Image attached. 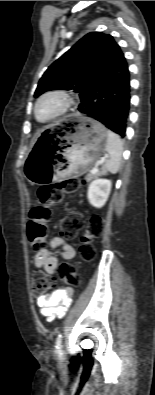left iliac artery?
<instances>
[{"label": "left iliac artery", "mask_w": 155, "mask_h": 395, "mask_svg": "<svg viewBox=\"0 0 155 395\" xmlns=\"http://www.w3.org/2000/svg\"><path fill=\"white\" fill-rule=\"evenodd\" d=\"M62 343V335H58L57 339H56V349H60Z\"/></svg>", "instance_id": "obj_1"}]
</instances>
